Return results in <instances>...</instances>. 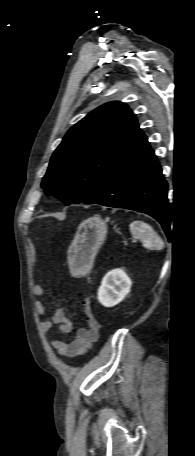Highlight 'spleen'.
<instances>
[{"instance_id": "3e777b00", "label": "spleen", "mask_w": 195, "mask_h": 456, "mask_svg": "<svg viewBox=\"0 0 195 456\" xmlns=\"http://www.w3.org/2000/svg\"><path fill=\"white\" fill-rule=\"evenodd\" d=\"M133 237L139 239L148 249H162L164 244L154 229L143 221H133L130 224Z\"/></svg>"}]
</instances>
